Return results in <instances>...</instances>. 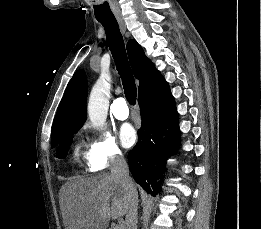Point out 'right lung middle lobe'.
I'll return each instance as SVG.
<instances>
[{
	"instance_id": "right-lung-middle-lobe-1",
	"label": "right lung middle lobe",
	"mask_w": 261,
	"mask_h": 229,
	"mask_svg": "<svg viewBox=\"0 0 261 229\" xmlns=\"http://www.w3.org/2000/svg\"><path fill=\"white\" fill-rule=\"evenodd\" d=\"M82 125H68V126H61L56 129V134L63 140L62 143L58 146L56 157L57 158H65L69 145L72 141L71 136L75 134Z\"/></svg>"
}]
</instances>
